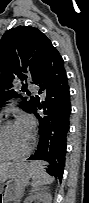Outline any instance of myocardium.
<instances>
[{"instance_id":"myocardium-1","label":"myocardium","mask_w":89,"mask_h":203,"mask_svg":"<svg viewBox=\"0 0 89 203\" xmlns=\"http://www.w3.org/2000/svg\"><path fill=\"white\" fill-rule=\"evenodd\" d=\"M13 123L11 121H8L6 123H4L1 127V131H0V134H1V141L3 143V147H4V150H5V144H6V137H5V134H6V128L9 126V125H12ZM31 141L32 139L29 138V142L27 143V145L25 146L24 149H22L21 151L17 152V153H7L5 151V156L7 158H17V157H21L23 155H25L29 150H30V144H31Z\"/></svg>"}]
</instances>
